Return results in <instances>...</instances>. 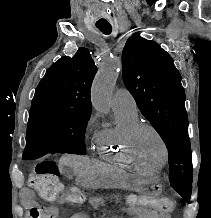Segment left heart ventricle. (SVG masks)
Segmentation results:
<instances>
[{
	"mask_svg": "<svg viewBox=\"0 0 211 218\" xmlns=\"http://www.w3.org/2000/svg\"><path fill=\"white\" fill-rule=\"evenodd\" d=\"M136 156L149 164H160L163 159L161 145L157 137L148 129L139 131L136 137Z\"/></svg>",
	"mask_w": 211,
	"mask_h": 218,
	"instance_id": "1",
	"label": "left heart ventricle"
}]
</instances>
